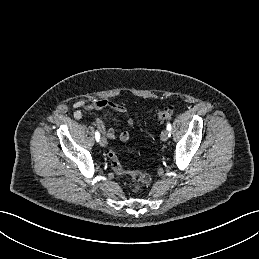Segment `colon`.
I'll use <instances>...</instances> for the list:
<instances>
[{
    "instance_id": "obj_1",
    "label": "colon",
    "mask_w": 259,
    "mask_h": 259,
    "mask_svg": "<svg viewBox=\"0 0 259 259\" xmlns=\"http://www.w3.org/2000/svg\"><path fill=\"white\" fill-rule=\"evenodd\" d=\"M173 115L171 108L160 109L156 112L155 117L159 122L170 119ZM107 156L113 171L119 176H128L133 181V191L139 192L149 185L151 178L148 174L138 170L125 169L121 165L114 150L110 149Z\"/></svg>"
}]
</instances>
